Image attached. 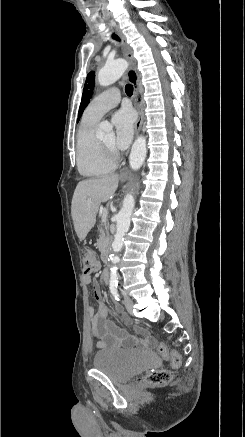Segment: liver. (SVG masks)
I'll list each match as a JSON object with an SVG mask.
<instances>
[{
    "label": "liver",
    "mask_w": 245,
    "mask_h": 437,
    "mask_svg": "<svg viewBox=\"0 0 245 437\" xmlns=\"http://www.w3.org/2000/svg\"><path fill=\"white\" fill-rule=\"evenodd\" d=\"M119 183L117 174L79 182L73 194L71 215L75 232L84 240L96 222V215L102 202H107Z\"/></svg>",
    "instance_id": "obj_1"
}]
</instances>
